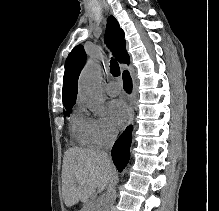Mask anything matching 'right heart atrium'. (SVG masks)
Returning a JSON list of instances; mask_svg holds the SVG:
<instances>
[{
  "instance_id": "d8ad5b80",
  "label": "right heart atrium",
  "mask_w": 219,
  "mask_h": 211,
  "mask_svg": "<svg viewBox=\"0 0 219 211\" xmlns=\"http://www.w3.org/2000/svg\"><path fill=\"white\" fill-rule=\"evenodd\" d=\"M89 130L93 142L98 146L105 147L113 143L117 136V128L105 116L89 117Z\"/></svg>"
}]
</instances>
